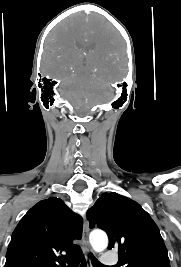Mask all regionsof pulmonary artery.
I'll return each mask as SVG.
<instances>
[{"label": "pulmonary artery", "mask_w": 181, "mask_h": 267, "mask_svg": "<svg viewBox=\"0 0 181 267\" xmlns=\"http://www.w3.org/2000/svg\"><path fill=\"white\" fill-rule=\"evenodd\" d=\"M101 262L103 265H113L116 263V258L111 256L109 253H105L101 258Z\"/></svg>", "instance_id": "1"}]
</instances>
